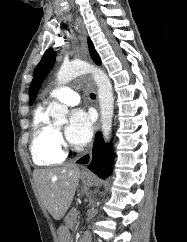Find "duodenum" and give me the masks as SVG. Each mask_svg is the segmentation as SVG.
<instances>
[{"label":"duodenum","mask_w":187,"mask_h":242,"mask_svg":"<svg viewBox=\"0 0 187 242\" xmlns=\"http://www.w3.org/2000/svg\"><path fill=\"white\" fill-rule=\"evenodd\" d=\"M89 236L87 234L83 235L79 242H89Z\"/></svg>","instance_id":"410a0bca"}]
</instances>
